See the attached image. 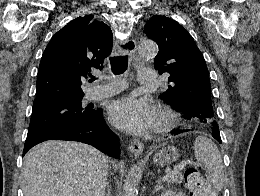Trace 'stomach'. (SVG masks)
Returning a JSON list of instances; mask_svg holds the SVG:
<instances>
[{
	"mask_svg": "<svg viewBox=\"0 0 260 196\" xmlns=\"http://www.w3.org/2000/svg\"><path fill=\"white\" fill-rule=\"evenodd\" d=\"M178 156V150L175 146H165V148H161V150H155L153 162H155L157 166H170V164L178 160Z\"/></svg>",
	"mask_w": 260,
	"mask_h": 196,
	"instance_id": "stomach-1",
	"label": "stomach"
}]
</instances>
